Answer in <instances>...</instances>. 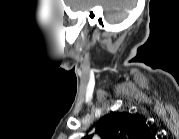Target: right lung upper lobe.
<instances>
[{"label": "right lung upper lobe", "mask_w": 179, "mask_h": 139, "mask_svg": "<svg viewBox=\"0 0 179 139\" xmlns=\"http://www.w3.org/2000/svg\"><path fill=\"white\" fill-rule=\"evenodd\" d=\"M96 132L102 139H149L152 136L142 119L127 112L105 115L99 120Z\"/></svg>", "instance_id": "obj_1"}]
</instances>
